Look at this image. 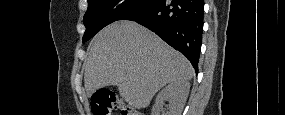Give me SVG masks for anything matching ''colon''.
I'll return each instance as SVG.
<instances>
[{
    "label": "colon",
    "instance_id": "colon-1",
    "mask_svg": "<svg viewBox=\"0 0 285 115\" xmlns=\"http://www.w3.org/2000/svg\"><path fill=\"white\" fill-rule=\"evenodd\" d=\"M91 108L94 115H110L113 111H119L122 115H141L135 111L126 101L119 98L110 90L100 89L91 99Z\"/></svg>",
    "mask_w": 285,
    "mask_h": 115
}]
</instances>
